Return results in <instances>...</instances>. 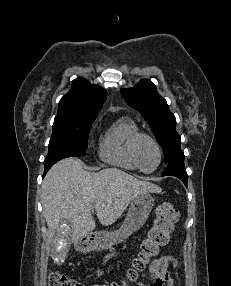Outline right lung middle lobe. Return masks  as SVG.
Masks as SVG:
<instances>
[{
	"mask_svg": "<svg viewBox=\"0 0 231 286\" xmlns=\"http://www.w3.org/2000/svg\"><path fill=\"white\" fill-rule=\"evenodd\" d=\"M97 113H58L44 164L86 154L88 133Z\"/></svg>",
	"mask_w": 231,
	"mask_h": 286,
	"instance_id": "1",
	"label": "right lung middle lobe"
}]
</instances>
